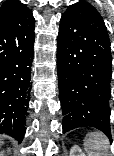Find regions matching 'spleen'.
<instances>
[{"label": "spleen", "mask_w": 114, "mask_h": 156, "mask_svg": "<svg viewBox=\"0 0 114 156\" xmlns=\"http://www.w3.org/2000/svg\"><path fill=\"white\" fill-rule=\"evenodd\" d=\"M109 144V139L99 131L88 133L84 139L88 156H109Z\"/></svg>", "instance_id": "obj_1"}]
</instances>
